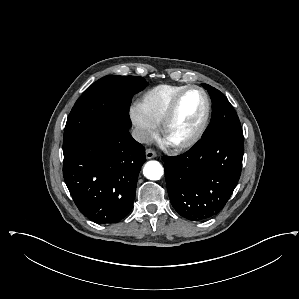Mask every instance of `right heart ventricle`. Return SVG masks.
Here are the masks:
<instances>
[{
	"label": "right heart ventricle",
	"instance_id": "1",
	"mask_svg": "<svg viewBox=\"0 0 299 299\" xmlns=\"http://www.w3.org/2000/svg\"><path fill=\"white\" fill-rule=\"evenodd\" d=\"M186 85L162 84L146 91L138 102L142 113L156 126L159 125L175 95Z\"/></svg>",
	"mask_w": 299,
	"mask_h": 299
}]
</instances>
